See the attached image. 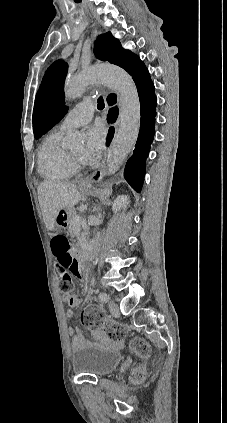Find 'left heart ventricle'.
Here are the masks:
<instances>
[{"label":"left heart ventricle","mask_w":227,"mask_h":423,"mask_svg":"<svg viewBox=\"0 0 227 423\" xmlns=\"http://www.w3.org/2000/svg\"><path fill=\"white\" fill-rule=\"evenodd\" d=\"M72 152H73V154H74L75 156L82 158V156H83V152H84L83 146H81V147H79V148L75 149V150H74V151H72Z\"/></svg>","instance_id":"left-heart-ventricle-1"}]
</instances>
